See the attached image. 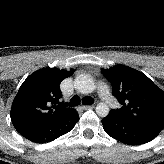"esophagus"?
Returning a JSON list of instances; mask_svg holds the SVG:
<instances>
[{
	"label": "esophagus",
	"mask_w": 164,
	"mask_h": 164,
	"mask_svg": "<svg viewBox=\"0 0 164 164\" xmlns=\"http://www.w3.org/2000/svg\"><path fill=\"white\" fill-rule=\"evenodd\" d=\"M94 105H95V103H93L91 105H85V106H83V109H85V110L92 109V108H94Z\"/></svg>",
	"instance_id": "obj_1"
}]
</instances>
